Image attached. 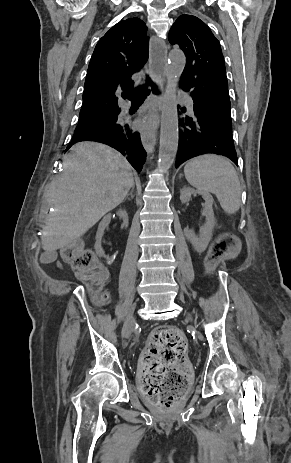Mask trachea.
I'll use <instances>...</instances> for the list:
<instances>
[{"label": "trachea", "instance_id": "trachea-1", "mask_svg": "<svg viewBox=\"0 0 291 463\" xmlns=\"http://www.w3.org/2000/svg\"><path fill=\"white\" fill-rule=\"evenodd\" d=\"M148 85L152 86L154 93H159L157 86L153 83L149 76H147L146 84L139 86L133 91L124 92L123 98L129 99L131 102H143L150 91L147 89Z\"/></svg>", "mask_w": 291, "mask_h": 463}]
</instances>
